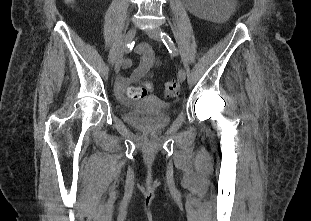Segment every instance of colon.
I'll list each match as a JSON object with an SVG mask.
<instances>
[{
  "label": "colon",
  "instance_id": "colon-1",
  "mask_svg": "<svg viewBox=\"0 0 311 221\" xmlns=\"http://www.w3.org/2000/svg\"><path fill=\"white\" fill-rule=\"evenodd\" d=\"M64 2L67 5L72 6L76 2V0H64ZM162 90L164 97L170 99L177 95L179 91L178 83L175 80L170 79L165 82ZM146 93V88H131V90L129 91V97L130 99H143Z\"/></svg>",
  "mask_w": 311,
  "mask_h": 221
}]
</instances>
